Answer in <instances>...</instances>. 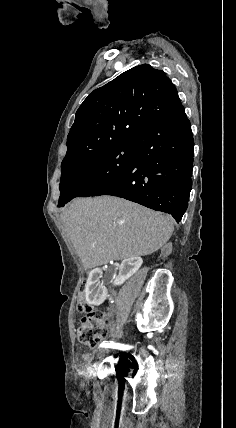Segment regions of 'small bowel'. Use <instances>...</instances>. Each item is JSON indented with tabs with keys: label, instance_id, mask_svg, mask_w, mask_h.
Segmentation results:
<instances>
[{
	"label": "small bowel",
	"instance_id": "small-bowel-1",
	"mask_svg": "<svg viewBox=\"0 0 236 428\" xmlns=\"http://www.w3.org/2000/svg\"><path fill=\"white\" fill-rule=\"evenodd\" d=\"M113 334H119L120 333V329L119 328H114L112 330Z\"/></svg>",
	"mask_w": 236,
	"mask_h": 428
}]
</instances>
